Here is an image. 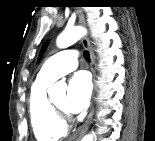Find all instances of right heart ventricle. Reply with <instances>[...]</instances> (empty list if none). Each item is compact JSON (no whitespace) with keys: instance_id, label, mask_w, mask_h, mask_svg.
Masks as SVG:
<instances>
[{"instance_id":"1","label":"right heart ventricle","mask_w":155,"mask_h":141,"mask_svg":"<svg viewBox=\"0 0 155 141\" xmlns=\"http://www.w3.org/2000/svg\"><path fill=\"white\" fill-rule=\"evenodd\" d=\"M53 81L37 78L32 84L28 110L34 136L38 141H56L66 134V127L54 118L47 89Z\"/></svg>"}]
</instances>
